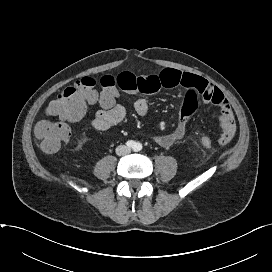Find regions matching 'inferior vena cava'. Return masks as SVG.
<instances>
[{"mask_svg": "<svg viewBox=\"0 0 272 272\" xmlns=\"http://www.w3.org/2000/svg\"><path fill=\"white\" fill-rule=\"evenodd\" d=\"M130 152H131V149L125 145H120L116 148V153L119 156L129 154Z\"/></svg>", "mask_w": 272, "mask_h": 272, "instance_id": "obj_1", "label": "inferior vena cava"}]
</instances>
